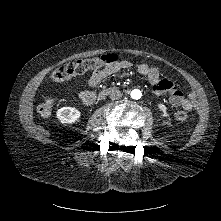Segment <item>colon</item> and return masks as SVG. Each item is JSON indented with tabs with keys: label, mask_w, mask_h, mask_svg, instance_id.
<instances>
[{
	"label": "colon",
	"mask_w": 221,
	"mask_h": 221,
	"mask_svg": "<svg viewBox=\"0 0 221 221\" xmlns=\"http://www.w3.org/2000/svg\"><path fill=\"white\" fill-rule=\"evenodd\" d=\"M118 56L116 54H108L95 60L78 61L72 65H61L53 73L52 78L55 81H62L71 78L81 73L90 72L99 68L107 67L117 62ZM59 98L56 96L49 97L40 107L39 113L43 116H52L57 111V103ZM187 111L179 108L176 112L178 120L187 119Z\"/></svg>",
	"instance_id": "obj_1"
}]
</instances>
